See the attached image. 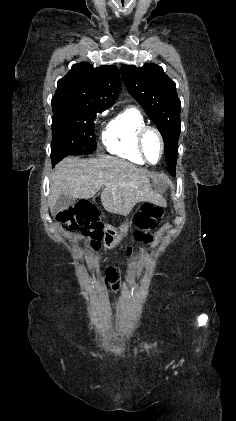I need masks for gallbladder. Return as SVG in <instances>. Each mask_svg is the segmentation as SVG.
<instances>
[{"label":"gallbladder","mask_w":236,"mask_h":421,"mask_svg":"<svg viewBox=\"0 0 236 421\" xmlns=\"http://www.w3.org/2000/svg\"><path fill=\"white\" fill-rule=\"evenodd\" d=\"M76 202L75 196H71V194H61L58 196L55 204H54V215L57 213H61V211H67V208Z\"/></svg>","instance_id":"bac80fb5"}]
</instances>
